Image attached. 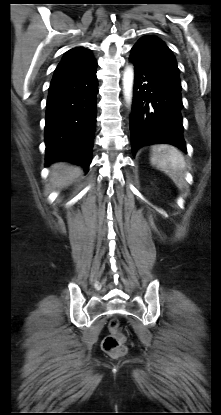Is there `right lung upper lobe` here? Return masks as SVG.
<instances>
[{"label": "right lung upper lobe", "instance_id": "cb5924a9", "mask_svg": "<svg viewBox=\"0 0 221 415\" xmlns=\"http://www.w3.org/2000/svg\"><path fill=\"white\" fill-rule=\"evenodd\" d=\"M96 65L97 62L88 49L76 47L65 53L55 70V74L72 72Z\"/></svg>", "mask_w": 221, "mask_h": 415}]
</instances>
